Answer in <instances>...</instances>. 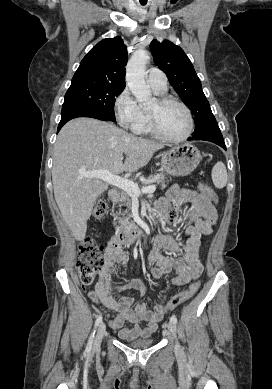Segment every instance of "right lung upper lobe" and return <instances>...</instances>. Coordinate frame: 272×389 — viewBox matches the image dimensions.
<instances>
[{"mask_svg":"<svg viewBox=\"0 0 272 389\" xmlns=\"http://www.w3.org/2000/svg\"><path fill=\"white\" fill-rule=\"evenodd\" d=\"M127 49L121 37L107 38L96 44L83 58L72 78L74 83H102L125 87Z\"/></svg>","mask_w":272,"mask_h":389,"instance_id":"right-lung-upper-lobe-1","label":"right lung upper lobe"}]
</instances>
